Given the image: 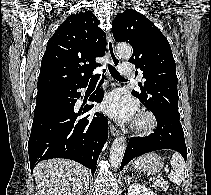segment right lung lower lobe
Listing matches in <instances>:
<instances>
[{"mask_svg": "<svg viewBox=\"0 0 211 195\" xmlns=\"http://www.w3.org/2000/svg\"><path fill=\"white\" fill-rule=\"evenodd\" d=\"M104 76L102 78L103 82ZM101 82V83H102ZM87 82L58 86L37 93L28 153L30 168L51 158L71 159L96 171L98 156L108 136V121L103 114L87 113L94 105L75 106L78 89ZM104 91L97 89L89 98L100 103Z\"/></svg>", "mask_w": 211, "mask_h": 195, "instance_id": "obj_1", "label": "right lung lower lobe"}]
</instances>
